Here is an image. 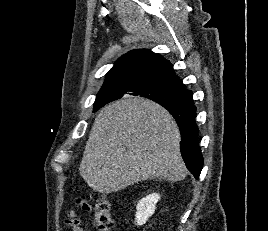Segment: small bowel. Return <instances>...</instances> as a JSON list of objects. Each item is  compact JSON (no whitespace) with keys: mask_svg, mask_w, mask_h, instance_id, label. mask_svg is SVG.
<instances>
[{"mask_svg":"<svg viewBox=\"0 0 268 231\" xmlns=\"http://www.w3.org/2000/svg\"><path fill=\"white\" fill-rule=\"evenodd\" d=\"M83 210H88L87 206H82ZM64 222L71 227L72 231H84V229L80 226V219L78 215L74 211H68Z\"/></svg>","mask_w":268,"mask_h":231,"instance_id":"obj_1","label":"small bowel"}]
</instances>
